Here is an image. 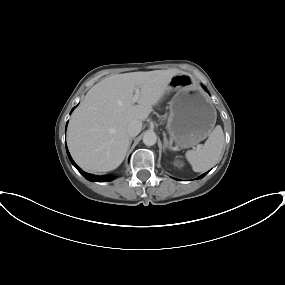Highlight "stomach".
Returning a JSON list of instances; mask_svg holds the SVG:
<instances>
[{"label": "stomach", "instance_id": "1", "mask_svg": "<svg viewBox=\"0 0 285 285\" xmlns=\"http://www.w3.org/2000/svg\"><path fill=\"white\" fill-rule=\"evenodd\" d=\"M170 90L176 91L170 101L167 131L178 148L192 147L207 138L217 119L210 98L196 89L189 75L172 78Z\"/></svg>", "mask_w": 285, "mask_h": 285}]
</instances>
